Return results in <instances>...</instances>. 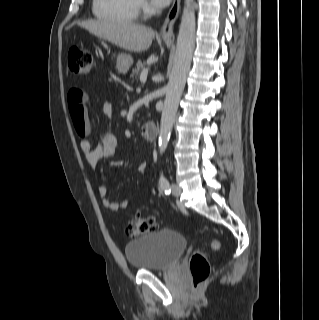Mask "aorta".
<instances>
[{"label":"aorta","instance_id":"aorta-1","mask_svg":"<svg viewBox=\"0 0 319 320\" xmlns=\"http://www.w3.org/2000/svg\"><path fill=\"white\" fill-rule=\"evenodd\" d=\"M194 0H185L177 37L174 64L166 88L164 108L159 131V150L162 154L168 145L178 105L183 93L195 45Z\"/></svg>","mask_w":319,"mask_h":320}]
</instances>
